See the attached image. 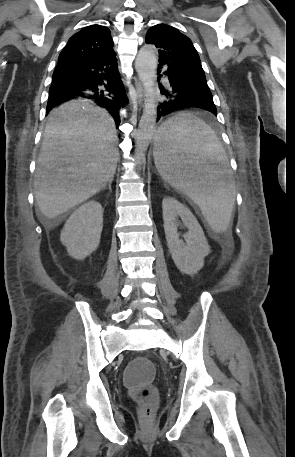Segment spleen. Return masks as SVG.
Masks as SVG:
<instances>
[{"mask_svg": "<svg viewBox=\"0 0 295 457\" xmlns=\"http://www.w3.org/2000/svg\"><path fill=\"white\" fill-rule=\"evenodd\" d=\"M154 162L165 181L200 207L214 232L227 230L236 187L226 153L206 123L187 112L167 120L158 131Z\"/></svg>", "mask_w": 295, "mask_h": 457, "instance_id": "3e777b00", "label": "spleen"}]
</instances>
